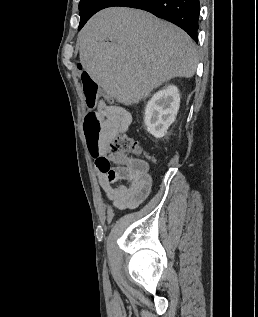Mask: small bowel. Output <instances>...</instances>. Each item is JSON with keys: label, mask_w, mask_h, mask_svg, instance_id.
<instances>
[{"label": "small bowel", "mask_w": 258, "mask_h": 317, "mask_svg": "<svg viewBox=\"0 0 258 317\" xmlns=\"http://www.w3.org/2000/svg\"><path fill=\"white\" fill-rule=\"evenodd\" d=\"M97 109L105 114L108 138L128 130L132 121L128 111L103 101L98 103ZM91 154L95 159L99 185L112 201L114 209L136 208L148 197L152 180L146 160L112 159L107 155L105 146Z\"/></svg>", "instance_id": "small-bowel-1"}]
</instances>
